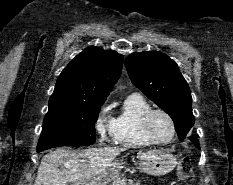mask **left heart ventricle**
I'll return each mask as SVG.
<instances>
[{
	"instance_id": "obj_1",
	"label": "left heart ventricle",
	"mask_w": 233,
	"mask_h": 185,
	"mask_svg": "<svg viewBox=\"0 0 233 185\" xmlns=\"http://www.w3.org/2000/svg\"><path fill=\"white\" fill-rule=\"evenodd\" d=\"M152 132L160 140L168 139L172 134L169 120L162 114H156L151 122Z\"/></svg>"
}]
</instances>
